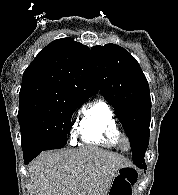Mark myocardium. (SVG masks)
Segmentation results:
<instances>
[{"mask_svg": "<svg viewBox=\"0 0 178 195\" xmlns=\"http://www.w3.org/2000/svg\"><path fill=\"white\" fill-rule=\"evenodd\" d=\"M118 144H119V147L124 151L130 150L132 146L130 138L126 134H123V133H121L118 137Z\"/></svg>", "mask_w": 178, "mask_h": 195, "instance_id": "1", "label": "myocardium"}]
</instances>
